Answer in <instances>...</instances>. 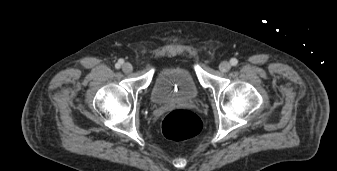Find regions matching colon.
Listing matches in <instances>:
<instances>
[{
    "label": "colon",
    "mask_w": 337,
    "mask_h": 171,
    "mask_svg": "<svg viewBox=\"0 0 337 171\" xmlns=\"http://www.w3.org/2000/svg\"><path fill=\"white\" fill-rule=\"evenodd\" d=\"M202 122L197 114L186 109H176L168 113L162 121V132L168 139L182 141L198 135Z\"/></svg>",
    "instance_id": "1"
}]
</instances>
